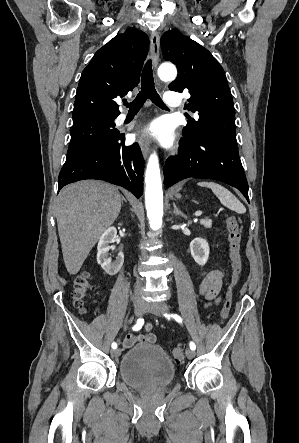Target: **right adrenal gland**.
Segmentation results:
<instances>
[{
	"mask_svg": "<svg viewBox=\"0 0 299 443\" xmlns=\"http://www.w3.org/2000/svg\"><path fill=\"white\" fill-rule=\"evenodd\" d=\"M123 202H127L126 199L124 198V196H122V204Z\"/></svg>",
	"mask_w": 299,
	"mask_h": 443,
	"instance_id": "2a0ac1e0",
	"label": "right adrenal gland"
}]
</instances>
